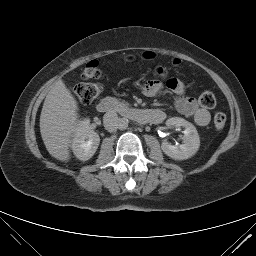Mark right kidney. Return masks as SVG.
I'll return each instance as SVG.
<instances>
[{"mask_svg":"<svg viewBox=\"0 0 256 256\" xmlns=\"http://www.w3.org/2000/svg\"><path fill=\"white\" fill-rule=\"evenodd\" d=\"M89 124V119H84L78 123L71 144L73 153L82 161L89 160L100 143L99 135L90 129Z\"/></svg>","mask_w":256,"mask_h":256,"instance_id":"1","label":"right kidney"}]
</instances>
